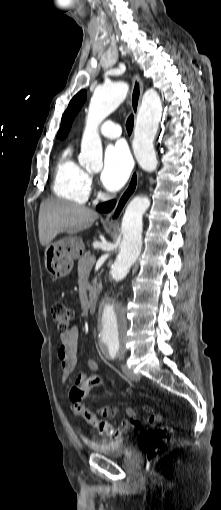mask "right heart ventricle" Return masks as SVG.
I'll list each match as a JSON object with an SVG mask.
<instances>
[{"mask_svg":"<svg viewBox=\"0 0 221 510\" xmlns=\"http://www.w3.org/2000/svg\"><path fill=\"white\" fill-rule=\"evenodd\" d=\"M89 179L86 170L74 159L72 147H67L55 167L53 193L59 198L84 204L89 197Z\"/></svg>","mask_w":221,"mask_h":510,"instance_id":"right-heart-ventricle-1","label":"right heart ventricle"}]
</instances>
